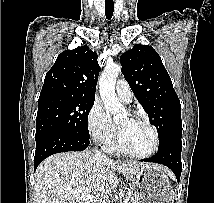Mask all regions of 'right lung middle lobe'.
I'll use <instances>...</instances> for the list:
<instances>
[{
  "instance_id": "obj_1",
  "label": "right lung middle lobe",
  "mask_w": 214,
  "mask_h": 203,
  "mask_svg": "<svg viewBox=\"0 0 214 203\" xmlns=\"http://www.w3.org/2000/svg\"><path fill=\"white\" fill-rule=\"evenodd\" d=\"M94 99L51 96L39 99L35 140L49 133H63L89 140L88 114Z\"/></svg>"
}]
</instances>
